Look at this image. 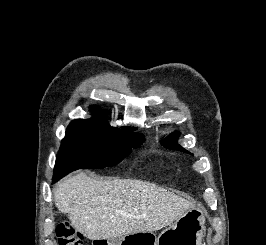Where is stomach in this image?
<instances>
[{"instance_id": "stomach-1", "label": "stomach", "mask_w": 266, "mask_h": 245, "mask_svg": "<svg viewBox=\"0 0 266 245\" xmlns=\"http://www.w3.org/2000/svg\"><path fill=\"white\" fill-rule=\"evenodd\" d=\"M204 231L205 217L202 211L191 209L158 237L153 231L130 233L127 237H118L111 241L107 239V245H202Z\"/></svg>"}]
</instances>
